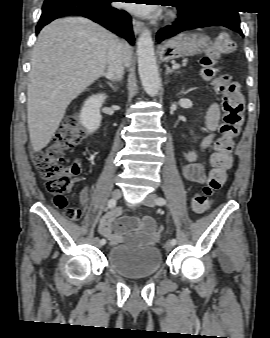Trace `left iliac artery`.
<instances>
[{"label": "left iliac artery", "mask_w": 270, "mask_h": 338, "mask_svg": "<svg viewBox=\"0 0 270 338\" xmlns=\"http://www.w3.org/2000/svg\"><path fill=\"white\" fill-rule=\"evenodd\" d=\"M156 204L159 205V206H163L166 204V200L163 198V197H159L156 199ZM170 242L175 245L176 244V239H171Z\"/></svg>", "instance_id": "obj_1"}]
</instances>
